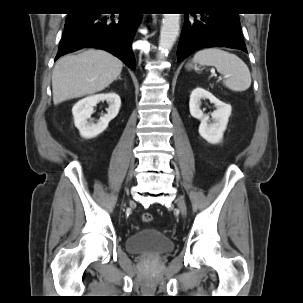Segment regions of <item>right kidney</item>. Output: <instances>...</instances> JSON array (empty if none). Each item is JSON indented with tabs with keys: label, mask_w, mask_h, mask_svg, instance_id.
Segmentation results:
<instances>
[{
	"label": "right kidney",
	"mask_w": 303,
	"mask_h": 303,
	"mask_svg": "<svg viewBox=\"0 0 303 303\" xmlns=\"http://www.w3.org/2000/svg\"><path fill=\"white\" fill-rule=\"evenodd\" d=\"M100 101H107L109 108L107 114L100 117L96 124L89 123L93 107ZM121 99L116 93L97 94L78 101L72 108L74 124L83 138L91 139L101 134L108 127L120 110Z\"/></svg>",
	"instance_id": "obj_1"
}]
</instances>
